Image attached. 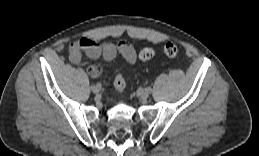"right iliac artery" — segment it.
Listing matches in <instances>:
<instances>
[{
    "label": "right iliac artery",
    "mask_w": 259,
    "mask_h": 156,
    "mask_svg": "<svg viewBox=\"0 0 259 156\" xmlns=\"http://www.w3.org/2000/svg\"><path fill=\"white\" fill-rule=\"evenodd\" d=\"M95 88V85L94 84H91L90 85V90H93Z\"/></svg>",
    "instance_id": "82829eb1"
}]
</instances>
